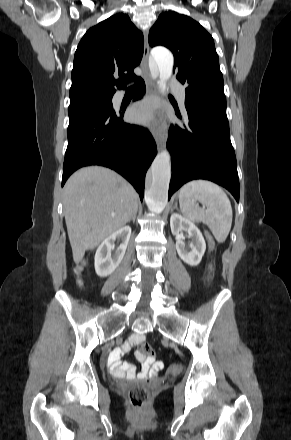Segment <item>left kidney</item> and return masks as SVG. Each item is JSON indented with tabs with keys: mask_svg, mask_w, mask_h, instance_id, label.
<instances>
[{
	"mask_svg": "<svg viewBox=\"0 0 291 440\" xmlns=\"http://www.w3.org/2000/svg\"><path fill=\"white\" fill-rule=\"evenodd\" d=\"M170 227L173 235L178 237L176 241V250L179 257L190 266H197L206 250L204 237L198 227L178 213H173L170 218ZM182 231L188 233L192 239L189 247L183 241Z\"/></svg>",
	"mask_w": 291,
	"mask_h": 440,
	"instance_id": "obj_1",
	"label": "left kidney"
}]
</instances>
